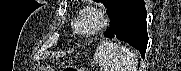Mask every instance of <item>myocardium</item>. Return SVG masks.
Segmentation results:
<instances>
[{"label":"myocardium","instance_id":"f54148a6","mask_svg":"<svg viewBox=\"0 0 181 71\" xmlns=\"http://www.w3.org/2000/svg\"><path fill=\"white\" fill-rule=\"evenodd\" d=\"M94 19V25L89 29H84L82 24L86 17ZM108 23V16L104 10L97 6H88L83 8L77 16L74 23V31L83 37H90L101 32Z\"/></svg>","mask_w":181,"mask_h":71}]
</instances>
